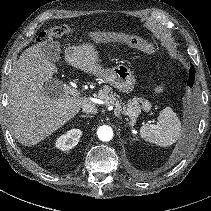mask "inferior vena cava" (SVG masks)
<instances>
[{
  "mask_svg": "<svg viewBox=\"0 0 211 211\" xmlns=\"http://www.w3.org/2000/svg\"><path fill=\"white\" fill-rule=\"evenodd\" d=\"M82 111L84 113L95 114L97 113V108L95 104H93L92 102H89L82 106Z\"/></svg>",
  "mask_w": 211,
  "mask_h": 211,
  "instance_id": "1",
  "label": "inferior vena cava"
}]
</instances>
